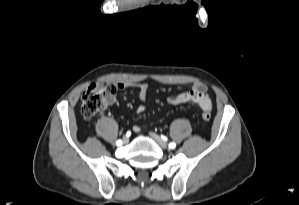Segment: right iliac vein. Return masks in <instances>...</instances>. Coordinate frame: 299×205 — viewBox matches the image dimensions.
Wrapping results in <instances>:
<instances>
[{
  "label": "right iliac vein",
  "instance_id": "63e3f726",
  "mask_svg": "<svg viewBox=\"0 0 299 205\" xmlns=\"http://www.w3.org/2000/svg\"><path fill=\"white\" fill-rule=\"evenodd\" d=\"M122 142H123L124 144H126V143L129 142V139H128L127 137H124Z\"/></svg>",
  "mask_w": 299,
  "mask_h": 205
}]
</instances>
